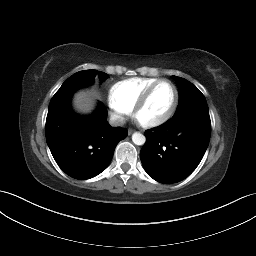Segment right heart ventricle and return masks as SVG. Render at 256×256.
Wrapping results in <instances>:
<instances>
[{"label":"right heart ventricle","mask_w":256,"mask_h":256,"mask_svg":"<svg viewBox=\"0 0 256 256\" xmlns=\"http://www.w3.org/2000/svg\"><path fill=\"white\" fill-rule=\"evenodd\" d=\"M157 80L159 79L131 78L117 82L110 88V103L131 111L143 92Z\"/></svg>","instance_id":"right-heart-ventricle-1"}]
</instances>
